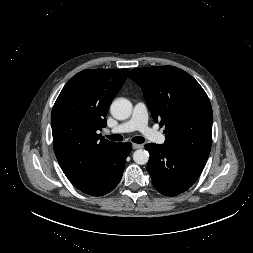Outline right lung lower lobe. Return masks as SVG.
Returning <instances> with one entry per match:
<instances>
[{
  "instance_id": "right-lung-lower-lobe-1",
  "label": "right lung lower lobe",
  "mask_w": 253,
  "mask_h": 253,
  "mask_svg": "<svg viewBox=\"0 0 253 253\" xmlns=\"http://www.w3.org/2000/svg\"><path fill=\"white\" fill-rule=\"evenodd\" d=\"M132 149L130 142L114 143L103 153L89 176L74 185L85 194L102 196L112 191L120 182L125 161Z\"/></svg>"
}]
</instances>
